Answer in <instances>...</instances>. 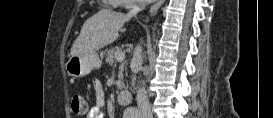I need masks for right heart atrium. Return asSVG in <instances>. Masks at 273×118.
<instances>
[{
    "instance_id": "obj_1",
    "label": "right heart atrium",
    "mask_w": 273,
    "mask_h": 118,
    "mask_svg": "<svg viewBox=\"0 0 273 118\" xmlns=\"http://www.w3.org/2000/svg\"><path fill=\"white\" fill-rule=\"evenodd\" d=\"M115 3L125 9H133L137 6L136 0H115Z\"/></svg>"
}]
</instances>
